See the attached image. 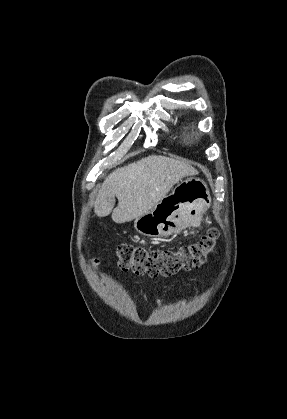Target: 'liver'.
<instances>
[{"mask_svg":"<svg viewBox=\"0 0 287 419\" xmlns=\"http://www.w3.org/2000/svg\"><path fill=\"white\" fill-rule=\"evenodd\" d=\"M195 174L197 170L187 160L149 155L116 169L104 180L94 212L98 217L112 213L116 223L132 221L149 212L182 178Z\"/></svg>","mask_w":287,"mask_h":419,"instance_id":"liver-1","label":"liver"}]
</instances>
